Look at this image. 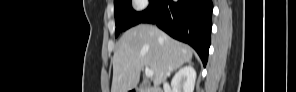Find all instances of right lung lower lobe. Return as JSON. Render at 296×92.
I'll return each instance as SVG.
<instances>
[{
	"mask_svg": "<svg viewBox=\"0 0 296 92\" xmlns=\"http://www.w3.org/2000/svg\"><path fill=\"white\" fill-rule=\"evenodd\" d=\"M211 0H159L140 23H154L170 36L191 45L204 66L212 27Z\"/></svg>",
	"mask_w": 296,
	"mask_h": 92,
	"instance_id": "obj_1",
	"label": "right lung lower lobe"
}]
</instances>
